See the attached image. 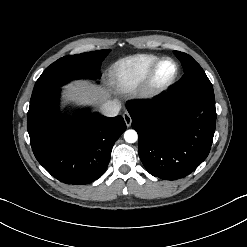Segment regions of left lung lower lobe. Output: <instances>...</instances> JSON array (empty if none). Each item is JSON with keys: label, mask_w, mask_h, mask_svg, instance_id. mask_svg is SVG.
Returning <instances> with one entry per match:
<instances>
[{"label": "left lung lower lobe", "mask_w": 247, "mask_h": 247, "mask_svg": "<svg viewBox=\"0 0 247 247\" xmlns=\"http://www.w3.org/2000/svg\"><path fill=\"white\" fill-rule=\"evenodd\" d=\"M146 170L163 180L184 178L208 156L216 126L214 92L169 91L152 103H128Z\"/></svg>", "instance_id": "obj_1"}]
</instances>
